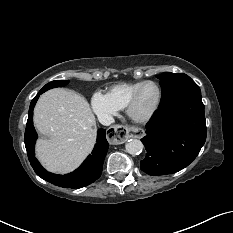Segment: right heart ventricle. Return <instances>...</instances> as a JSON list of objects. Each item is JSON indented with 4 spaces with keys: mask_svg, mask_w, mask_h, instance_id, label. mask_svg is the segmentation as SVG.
I'll return each instance as SVG.
<instances>
[{
    "mask_svg": "<svg viewBox=\"0 0 233 233\" xmlns=\"http://www.w3.org/2000/svg\"><path fill=\"white\" fill-rule=\"evenodd\" d=\"M143 83L138 82H122L108 88L106 96L118 108L124 109L133 94V92Z\"/></svg>",
    "mask_w": 233,
    "mask_h": 233,
    "instance_id": "1",
    "label": "right heart ventricle"
}]
</instances>
